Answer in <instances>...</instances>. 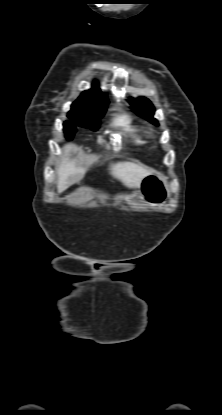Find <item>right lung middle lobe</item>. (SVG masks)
<instances>
[{"label": "right lung middle lobe", "mask_w": 222, "mask_h": 415, "mask_svg": "<svg viewBox=\"0 0 222 415\" xmlns=\"http://www.w3.org/2000/svg\"><path fill=\"white\" fill-rule=\"evenodd\" d=\"M104 112L105 109L101 111H93L83 108H72L68 113L70 121H66L63 124L66 137L68 139L73 137L76 132L75 125L96 131L99 127V119L103 116Z\"/></svg>", "instance_id": "dd1d6c3e"}]
</instances>
